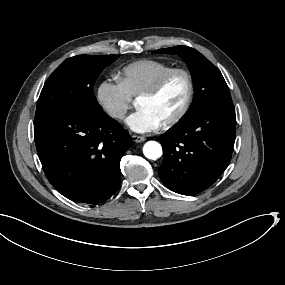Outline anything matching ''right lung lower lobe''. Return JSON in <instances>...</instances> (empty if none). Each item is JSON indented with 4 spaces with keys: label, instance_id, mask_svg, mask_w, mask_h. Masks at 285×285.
<instances>
[{
    "label": "right lung lower lobe",
    "instance_id": "1",
    "mask_svg": "<svg viewBox=\"0 0 285 285\" xmlns=\"http://www.w3.org/2000/svg\"><path fill=\"white\" fill-rule=\"evenodd\" d=\"M34 139L43 170L66 198L88 204L109 199L120 186V160L133 145L106 113L57 110L35 118Z\"/></svg>",
    "mask_w": 285,
    "mask_h": 285
}]
</instances>
